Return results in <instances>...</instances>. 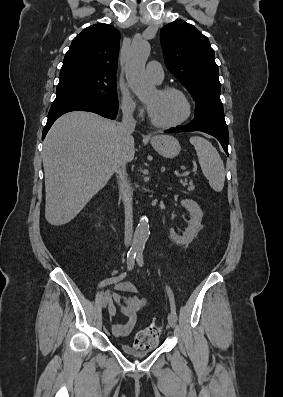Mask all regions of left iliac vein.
I'll use <instances>...</instances> for the list:
<instances>
[{
    "label": "left iliac vein",
    "instance_id": "4c4485c4",
    "mask_svg": "<svg viewBox=\"0 0 283 397\" xmlns=\"http://www.w3.org/2000/svg\"><path fill=\"white\" fill-rule=\"evenodd\" d=\"M176 317H175V315L171 312V313H169L168 314V323H169V325L172 327V328H174L175 327V325H176Z\"/></svg>",
    "mask_w": 283,
    "mask_h": 397
}]
</instances>
